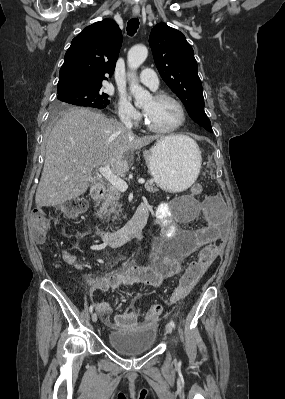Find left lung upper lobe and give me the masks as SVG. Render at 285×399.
Listing matches in <instances>:
<instances>
[{"label":"left lung upper lobe","instance_id":"5c2ea615","mask_svg":"<svg viewBox=\"0 0 285 399\" xmlns=\"http://www.w3.org/2000/svg\"><path fill=\"white\" fill-rule=\"evenodd\" d=\"M149 44L160 76L184 103L189 116L213 132L204 111L202 84L194 51L184 34L165 23L153 27Z\"/></svg>","mask_w":285,"mask_h":399}]
</instances>
